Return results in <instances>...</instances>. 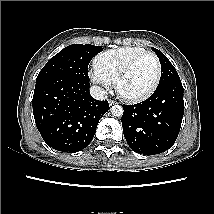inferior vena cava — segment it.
<instances>
[{"label": "inferior vena cava", "instance_id": "602c4592", "mask_svg": "<svg viewBox=\"0 0 214 214\" xmlns=\"http://www.w3.org/2000/svg\"><path fill=\"white\" fill-rule=\"evenodd\" d=\"M90 94L96 100H105L108 97V93L106 90L95 85L90 87Z\"/></svg>", "mask_w": 214, "mask_h": 214}]
</instances>
